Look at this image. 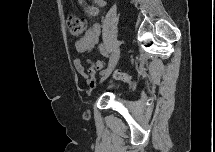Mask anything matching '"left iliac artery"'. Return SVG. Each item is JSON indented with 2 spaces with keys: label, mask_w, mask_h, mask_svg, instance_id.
I'll use <instances>...</instances> for the list:
<instances>
[{
  "label": "left iliac artery",
  "mask_w": 215,
  "mask_h": 152,
  "mask_svg": "<svg viewBox=\"0 0 215 152\" xmlns=\"http://www.w3.org/2000/svg\"><path fill=\"white\" fill-rule=\"evenodd\" d=\"M103 54H104V56L108 57V54H107L106 52L103 51ZM105 72H106V71L103 69L102 71H99V72H98V75H99V76H104V75H105Z\"/></svg>",
  "instance_id": "44dca946"
}]
</instances>
